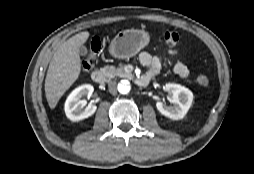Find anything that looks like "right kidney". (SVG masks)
Here are the masks:
<instances>
[{
    "mask_svg": "<svg viewBox=\"0 0 254 174\" xmlns=\"http://www.w3.org/2000/svg\"><path fill=\"white\" fill-rule=\"evenodd\" d=\"M94 88L90 84H84L74 89L67 97L64 105L65 113L71 121H80L93 115L97 109L96 105H88L86 100H82L83 96H91Z\"/></svg>",
    "mask_w": 254,
    "mask_h": 174,
    "instance_id": "obj_1",
    "label": "right kidney"
}]
</instances>
